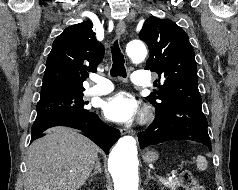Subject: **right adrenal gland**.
<instances>
[{"instance_id": "obj_1", "label": "right adrenal gland", "mask_w": 238, "mask_h": 190, "mask_svg": "<svg viewBox=\"0 0 238 190\" xmlns=\"http://www.w3.org/2000/svg\"><path fill=\"white\" fill-rule=\"evenodd\" d=\"M101 172H102V169H101L100 161H99V158L97 157L93 173H91V177H93L95 174L101 173Z\"/></svg>"}]
</instances>
